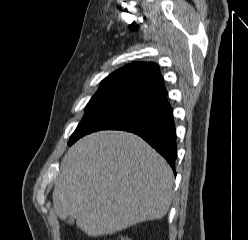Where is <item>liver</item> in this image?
<instances>
[{"instance_id":"liver-1","label":"liver","mask_w":248,"mask_h":240,"mask_svg":"<svg viewBox=\"0 0 248 240\" xmlns=\"http://www.w3.org/2000/svg\"><path fill=\"white\" fill-rule=\"evenodd\" d=\"M173 187L171 167L142 138L100 131L69 148L52 199L61 220L97 237L161 219Z\"/></svg>"}]
</instances>
